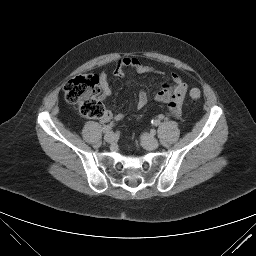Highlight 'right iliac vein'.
I'll use <instances>...</instances> for the list:
<instances>
[{
    "instance_id": "63e3f726",
    "label": "right iliac vein",
    "mask_w": 256,
    "mask_h": 256,
    "mask_svg": "<svg viewBox=\"0 0 256 256\" xmlns=\"http://www.w3.org/2000/svg\"><path fill=\"white\" fill-rule=\"evenodd\" d=\"M104 140L107 142V143H112L114 140H115V135L113 132H108L105 134L104 136Z\"/></svg>"
}]
</instances>
